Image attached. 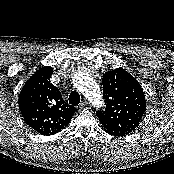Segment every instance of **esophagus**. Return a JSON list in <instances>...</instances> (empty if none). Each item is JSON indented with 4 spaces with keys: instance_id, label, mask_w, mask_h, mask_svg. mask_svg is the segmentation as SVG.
Wrapping results in <instances>:
<instances>
[{
    "instance_id": "1",
    "label": "esophagus",
    "mask_w": 174,
    "mask_h": 174,
    "mask_svg": "<svg viewBox=\"0 0 174 174\" xmlns=\"http://www.w3.org/2000/svg\"><path fill=\"white\" fill-rule=\"evenodd\" d=\"M87 105V102L85 100H83L80 104H79V108L82 109Z\"/></svg>"
}]
</instances>
